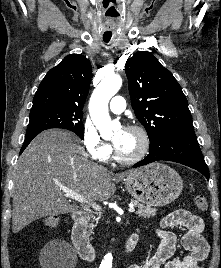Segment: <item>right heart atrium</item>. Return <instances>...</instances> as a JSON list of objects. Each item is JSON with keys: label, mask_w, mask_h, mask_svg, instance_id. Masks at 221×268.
Returning <instances> with one entry per match:
<instances>
[{"label": "right heart atrium", "mask_w": 221, "mask_h": 268, "mask_svg": "<svg viewBox=\"0 0 221 268\" xmlns=\"http://www.w3.org/2000/svg\"><path fill=\"white\" fill-rule=\"evenodd\" d=\"M83 144L89 156L98 161H106L112 154V147L104 141L94 124L86 120L82 131Z\"/></svg>", "instance_id": "1"}]
</instances>
